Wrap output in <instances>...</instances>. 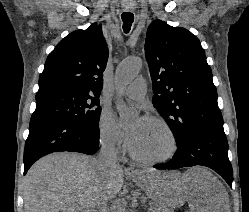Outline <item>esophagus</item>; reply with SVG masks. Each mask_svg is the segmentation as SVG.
<instances>
[{
  "instance_id": "obj_1",
  "label": "esophagus",
  "mask_w": 249,
  "mask_h": 212,
  "mask_svg": "<svg viewBox=\"0 0 249 212\" xmlns=\"http://www.w3.org/2000/svg\"><path fill=\"white\" fill-rule=\"evenodd\" d=\"M129 11L131 10H127V12ZM125 173H128L129 175H140V172L137 171L135 167H133L132 165H130L129 167L125 169Z\"/></svg>"
}]
</instances>
